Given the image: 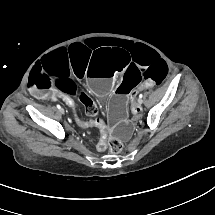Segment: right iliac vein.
I'll use <instances>...</instances> for the list:
<instances>
[{
  "label": "right iliac vein",
  "instance_id": "obj_1",
  "mask_svg": "<svg viewBox=\"0 0 215 215\" xmlns=\"http://www.w3.org/2000/svg\"><path fill=\"white\" fill-rule=\"evenodd\" d=\"M59 112H60L61 114H64V109L61 108V109L59 110Z\"/></svg>",
  "mask_w": 215,
  "mask_h": 215
}]
</instances>
